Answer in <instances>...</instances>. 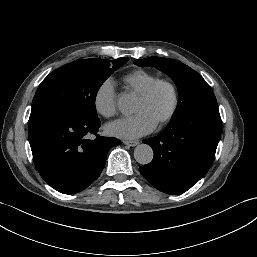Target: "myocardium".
Wrapping results in <instances>:
<instances>
[{"label":"myocardium","instance_id":"1","mask_svg":"<svg viewBox=\"0 0 257 257\" xmlns=\"http://www.w3.org/2000/svg\"><path fill=\"white\" fill-rule=\"evenodd\" d=\"M162 86H165L170 90V93L172 96V104L166 116L159 123H157L158 127H163L168 123H170L175 117V115L177 114L179 103H180L177 86L169 79L160 78L154 81L152 84H150L142 93L138 95L139 99L148 100Z\"/></svg>","mask_w":257,"mask_h":257}]
</instances>
